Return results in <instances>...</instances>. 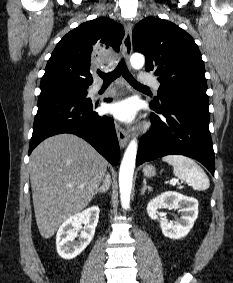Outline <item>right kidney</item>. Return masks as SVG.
Returning <instances> with one entry per match:
<instances>
[{"label": "right kidney", "instance_id": "1", "mask_svg": "<svg viewBox=\"0 0 233 283\" xmlns=\"http://www.w3.org/2000/svg\"><path fill=\"white\" fill-rule=\"evenodd\" d=\"M99 212L98 206H92L72 215L60 226L56 235V247L60 257L73 259L85 250L94 237ZM82 224H85V227L78 235Z\"/></svg>", "mask_w": 233, "mask_h": 283}]
</instances>
